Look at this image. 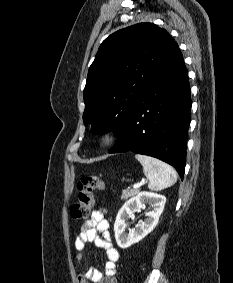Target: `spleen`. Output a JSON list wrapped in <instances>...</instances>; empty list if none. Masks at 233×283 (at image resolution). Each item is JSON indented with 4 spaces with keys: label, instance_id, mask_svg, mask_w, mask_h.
I'll use <instances>...</instances> for the list:
<instances>
[{
    "label": "spleen",
    "instance_id": "3e777b00",
    "mask_svg": "<svg viewBox=\"0 0 233 283\" xmlns=\"http://www.w3.org/2000/svg\"><path fill=\"white\" fill-rule=\"evenodd\" d=\"M135 158L143 166V173L148 178V188L158 191L174 185L177 181L175 170L156 158L136 154Z\"/></svg>",
    "mask_w": 233,
    "mask_h": 283
}]
</instances>
